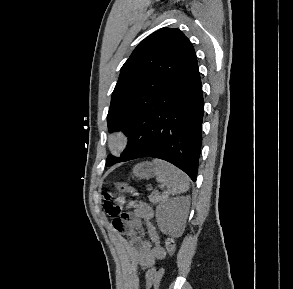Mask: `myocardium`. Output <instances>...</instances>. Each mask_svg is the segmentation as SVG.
<instances>
[{
	"instance_id": "obj_1",
	"label": "myocardium",
	"mask_w": 293,
	"mask_h": 289,
	"mask_svg": "<svg viewBox=\"0 0 293 289\" xmlns=\"http://www.w3.org/2000/svg\"><path fill=\"white\" fill-rule=\"evenodd\" d=\"M129 144V134L122 128L115 129L109 136L108 147L113 155H120Z\"/></svg>"
}]
</instances>
